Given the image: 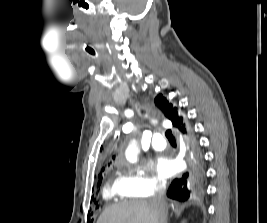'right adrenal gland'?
<instances>
[{"label": "right adrenal gland", "mask_w": 267, "mask_h": 223, "mask_svg": "<svg viewBox=\"0 0 267 223\" xmlns=\"http://www.w3.org/2000/svg\"><path fill=\"white\" fill-rule=\"evenodd\" d=\"M186 222H187L186 220L182 221V223H186Z\"/></svg>", "instance_id": "right-adrenal-gland-1"}]
</instances>
